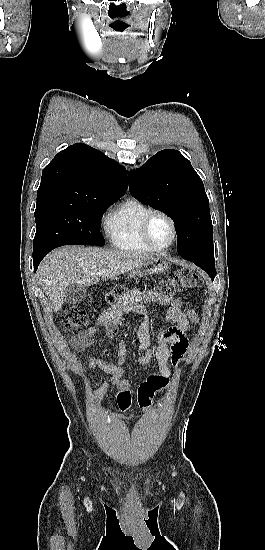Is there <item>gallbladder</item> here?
I'll return each instance as SVG.
<instances>
[{
	"instance_id": "obj_1",
	"label": "gallbladder",
	"mask_w": 265,
	"mask_h": 550,
	"mask_svg": "<svg viewBox=\"0 0 265 550\" xmlns=\"http://www.w3.org/2000/svg\"><path fill=\"white\" fill-rule=\"evenodd\" d=\"M64 294L66 303L76 304L85 300L87 296V290L84 286L70 284L65 289Z\"/></svg>"
}]
</instances>
